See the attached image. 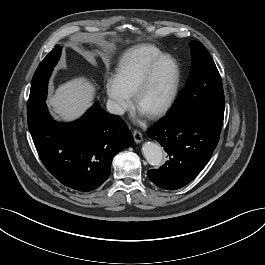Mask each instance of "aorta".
Listing matches in <instances>:
<instances>
[{
  "mask_svg": "<svg viewBox=\"0 0 265 265\" xmlns=\"http://www.w3.org/2000/svg\"><path fill=\"white\" fill-rule=\"evenodd\" d=\"M142 153L148 163L152 166L160 165L163 153L161 147L154 142H146L143 144Z\"/></svg>",
  "mask_w": 265,
  "mask_h": 265,
  "instance_id": "aorta-1",
  "label": "aorta"
}]
</instances>
